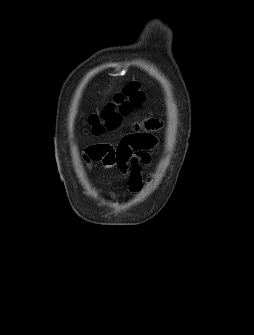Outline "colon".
I'll list each match as a JSON object with an SVG mask.
<instances>
[{
    "instance_id": "5ec220e1",
    "label": "colon",
    "mask_w": 254,
    "mask_h": 335,
    "mask_svg": "<svg viewBox=\"0 0 254 335\" xmlns=\"http://www.w3.org/2000/svg\"><path fill=\"white\" fill-rule=\"evenodd\" d=\"M115 102L118 105V112L115 111L113 104H108L102 113L104 124L99 123V117L97 116L91 118V122L94 124V134H99L105 129H115L120 122L121 115H125L139 107L143 102V96L135 91L134 84H129L123 93L116 95Z\"/></svg>"
}]
</instances>
